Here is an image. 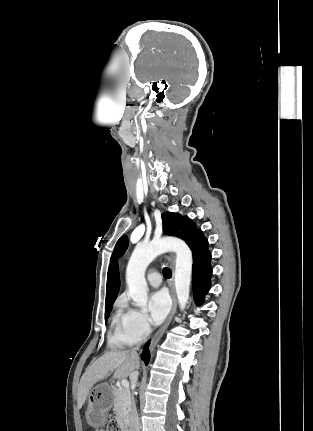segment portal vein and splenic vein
Instances as JSON below:
<instances>
[{
	"label": "portal vein and splenic vein",
	"mask_w": 313,
	"mask_h": 431,
	"mask_svg": "<svg viewBox=\"0 0 313 431\" xmlns=\"http://www.w3.org/2000/svg\"><path fill=\"white\" fill-rule=\"evenodd\" d=\"M121 386L125 389H128L129 388V382L127 380H122Z\"/></svg>",
	"instance_id": "18ae733b"
}]
</instances>
